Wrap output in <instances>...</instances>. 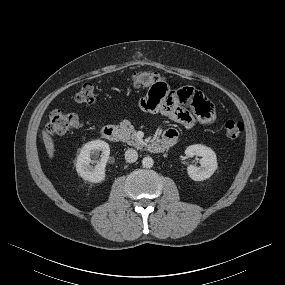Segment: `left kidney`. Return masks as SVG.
Wrapping results in <instances>:
<instances>
[{
    "label": "left kidney",
    "instance_id": "5707ae66",
    "mask_svg": "<svg viewBox=\"0 0 285 285\" xmlns=\"http://www.w3.org/2000/svg\"><path fill=\"white\" fill-rule=\"evenodd\" d=\"M185 154L188 157L200 156V167L189 165L188 175L192 180L203 181L213 175L217 169V158L215 152L204 145L195 144L186 148Z\"/></svg>",
    "mask_w": 285,
    "mask_h": 285
}]
</instances>
